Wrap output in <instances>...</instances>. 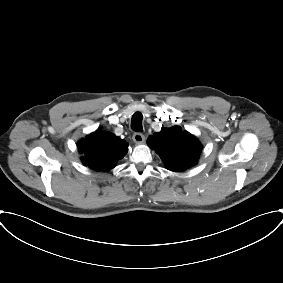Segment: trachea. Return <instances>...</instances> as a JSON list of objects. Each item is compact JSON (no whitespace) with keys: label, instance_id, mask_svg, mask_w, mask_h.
I'll return each instance as SVG.
<instances>
[{"label":"trachea","instance_id":"3493384b","mask_svg":"<svg viewBox=\"0 0 283 283\" xmlns=\"http://www.w3.org/2000/svg\"><path fill=\"white\" fill-rule=\"evenodd\" d=\"M131 128L134 131H138V132L143 131L142 114L140 112H136L133 114L132 119H131Z\"/></svg>","mask_w":283,"mask_h":283}]
</instances>
